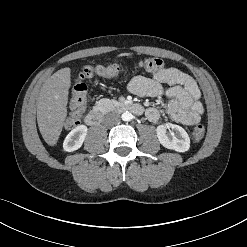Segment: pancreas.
I'll return each mask as SVG.
<instances>
[{"instance_id": "1", "label": "pancreas", "mask_w": 247, "mask_h": 247, "mask_svg": "<svg viewBox=\"0 0 247 247\" xmlns=\"http://www.w3.org/2000/svg\"><path fill=\"white\" fill-rule=\"evenodd\" d=\"M120 105H121V103H119L118 101L113 100V99H107V98H103L97 102L98 109L102 110V111L103 110H112L115 107H118Z\"/></svg>"}]
</instances>
